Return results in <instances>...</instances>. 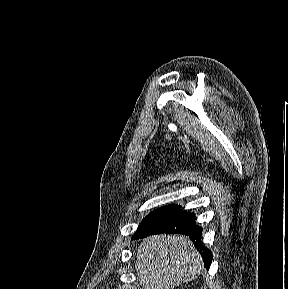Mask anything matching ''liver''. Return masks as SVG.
I'll list each match as a JSON object with an SVG mask.
<instances>
[{
    "instance_id": "6515ba94",
    "label": "liver",
    "mask_w": 288,
    "mask_h": 289,
    "mask_svg": "<svg viewBox=\"0 0 288 289\" xmlns=\"http://www.w3.org/2000/svg\"><path fill=\"white\" fill-rule=\"evenodd\" d=\"M202 269L200 253L183 235L149 236L137 250L135 271L142 289H174Z\"/></svg>"
}]
</instances>
